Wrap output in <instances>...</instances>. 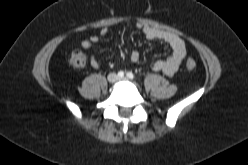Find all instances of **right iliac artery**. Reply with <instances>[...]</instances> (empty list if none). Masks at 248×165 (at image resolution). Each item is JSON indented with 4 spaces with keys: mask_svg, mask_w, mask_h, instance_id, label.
<instances>
[{
    "mask_svg": "<svg viewBox=\"0 0 248 165\" xmlns=\"http://www.w3.org/2000/svg\"><path fill=\"white\" fill-rule=\"evenodd\" d=\"M118 76L121 77V78L124 77V72L123 71H119L118 72Z\"/></svg>",
    "mask_w": 248,
    "mask_h": 165,
    "instance_id": "right-iliac-artery-1",
    "label": "right iliac artery"
}]
</instances>
